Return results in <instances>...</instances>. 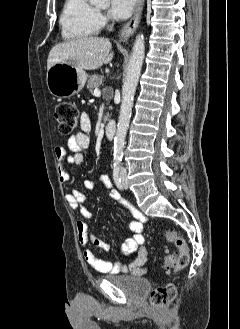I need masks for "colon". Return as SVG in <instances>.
Masks as SVG:
<instances>
[{
    "instance_id": "colon-1",
    "label": "colon",
    "mask_w": 240,
    "mask_h": 329,
    "mask_svg": "<svg viewBox=\"0 0 240 329\" xmlns=\"http://www.w3.org/2000/svg\"><path fill=\"white\" fill-rule=\"evenodd\" d=\"M55 117L60 133L68 135L74 131L79 124V110L76 105L70 102H60L55 108ZM166 237L173 242L178 253L167 252L163 260L165 269H184L189 263V249L185 239L175 230L167 229ZM176 297V286L173 283H166L155 288L150 294V302L154 306H166Z\"/></svg>"
}]
</instances>
